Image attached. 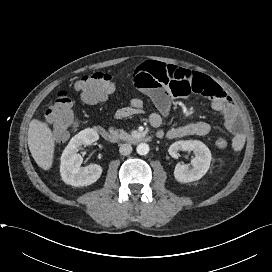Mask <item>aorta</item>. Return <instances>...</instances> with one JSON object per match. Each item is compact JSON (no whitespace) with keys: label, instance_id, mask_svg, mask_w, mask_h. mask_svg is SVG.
I'll return each mask as SVG.
<instances>
[{"label":"aorta","instance_id":"1","mask_svg":"<svg viewBox=\"0 0 272 272\" xmlns=\"http://www.w3.org/2000/svg\"><path fill=\"white\" fill-rule=\"evenodd\" d=\"M136 151L139 155H146L149 153V145L146 143H140L137 146Z\"/></svg>","mask_w":272,"mask_h":272}]
</instances>
